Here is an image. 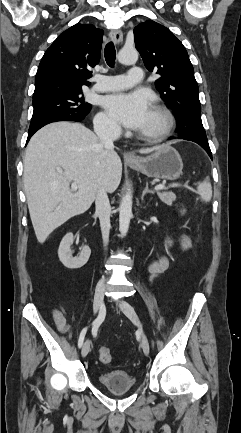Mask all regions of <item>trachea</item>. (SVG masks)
Masks as SVG:
<instances>
[{
  "label": "trachea",
  "mask_w": 241,
  "mask_h": 433,
  "mask_svg": "<svg viewBox=\"0 0 241 433\" xmlns=\"http://www.w3.org/2000/svg\"><path fill=\"white\" fill-rule=\"evenodd\" d=\"M104 57L109 67H113L116 59V51L113 42H109L104 50Z\"/></svg>",
  "instance_id": "obj_1"
}]
</instances>
